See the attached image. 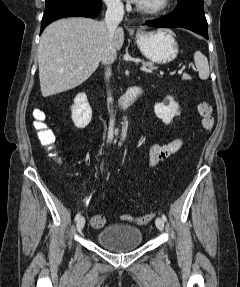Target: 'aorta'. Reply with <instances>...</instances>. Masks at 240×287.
I'll use <instances>...</instances> for the list:
<instances>
[{
  "instance_id": "762f6f07",
  "label": "aorta",
  "mask_w": 240,
  "mask_h": 287,
  "mask_svg": "<svg viewBox=\"0 0 240 287\" xmlns=\"http://www.w3.org/2000/svg\"><path fill=\"white\" fill-rule=\"evenodd\" d=\"M127 134V121H125L123 123V127H122V138H125Z\"/></svg>"
}]
</instances>
